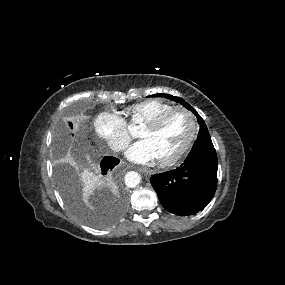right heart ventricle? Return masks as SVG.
I'll return each instance as SVG.
<instances>
[{
    "mask_svg": "<svg viewBox=\"0 0 285 285\" xmlns=\"http://www.w3.org/2000/svg\"><path fill=\"white\" fill-rule=\"evenodd\" d=\"M171 107L173 105L161 99H147L132 105L127 111L133 119L147 122Z\"/></svg>",
    "mask_w": 285,
    "mask_h": 285,
    "instance_id": "1",
    "label": "right heart ventricle"
}]
</instances>
